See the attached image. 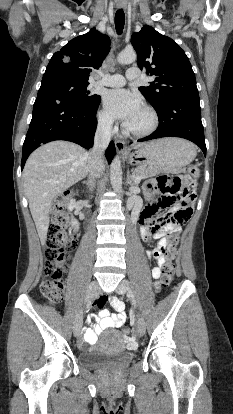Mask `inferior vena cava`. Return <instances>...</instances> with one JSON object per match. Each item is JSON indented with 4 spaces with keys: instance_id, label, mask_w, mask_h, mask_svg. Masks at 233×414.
Returning <instances> with one entry per match:
<instances>
[{
    "instance_id": "obj_1",
    "label": "inferior vena cava",
    "mask_w": 233,
    "mask_h": 414,
    "mask_svg": "<svg viewBox=\"0 0 233 414\" xmlns=\"http://www.w3.org/2000/svg\"><path fill=\"white\" fill-rule=\"evenodd\" d=\"M112 124L113 121L107 119L101 122L97 127L94 137V146L89 153V177L94 178L100 176L105 169L103 154L110 143Z\"/></svg>"
}]
</instances>
